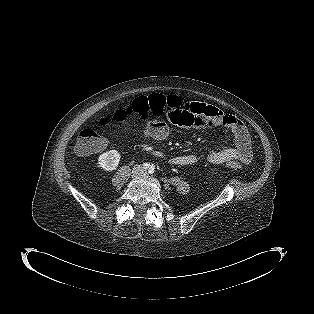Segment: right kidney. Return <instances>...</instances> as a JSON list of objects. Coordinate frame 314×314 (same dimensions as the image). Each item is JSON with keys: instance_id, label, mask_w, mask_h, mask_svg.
<instances>
[{"instance_id": "1", "label": "right kidney", "mask_w": 314, "mask_h": 314, "mask_svg": "<svg viewBox=\"0 0 314 314\" xmlns=\"http://www.w3.org/2000/svg\"><path fill=\"white\" fill-rule=\"evenodd\" d=\"M120 158L121 155L117 150H110L99 156L98 164L105 171H112L118 167Z\"/></svg>"}]
</instances>
